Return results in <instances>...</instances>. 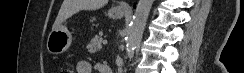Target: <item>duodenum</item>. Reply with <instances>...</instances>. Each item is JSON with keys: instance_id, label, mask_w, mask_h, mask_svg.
I'll use <instances>...</instances> for the list:
<instances>
[{"instance_id": "1", "label": "duodenum", "mask_w": 244, "mask_h": 73, "mask_svg": "<svg viewBox=\"0 0 244 73\" xmlns=\"http://www.w3.org/2000/svg\"><path fill=\"white\" fill-rule=\"evenodd\" d=\"M105 73H111V70L107 67V66H105V68H104V70H103Z\"/></svg>"}]
</instances>
